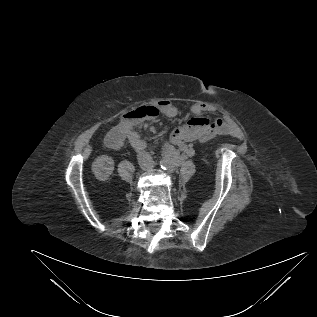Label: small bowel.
I'll list each match as a JSON object with an SVG mask.
<instances>
[{"label":"small bowel","mask_w":317,"mask_h":317,"mask_svg":"<svg viewBox=\"0 0 317 317\" xmlns=\"http://www.w3.org/2000/svg\"><path fill=\"white\" fill-rule=\"evenodd\" d=\"M158 106L160 112L167 118L172 119L177 117L179 114L178 107L168 99L161 100L158 103ZM209 111L210 107L206 104H192L190 106L192 117L186 124L178 126L172 131L170 143H167L164 146L163 153L176 159L190 158L195 154L193 147L195 143L209 141L219 134H234L237 132L236 126L229 125L221 117L210 119L204 116V114ZM134 125L135 123L130 120L121 122L107 136L106 144L108 145L109 139L112 135L118 134L122 136L123 142L125 139H128L135 149H144L146 143L134 130Z\"/></svg>","instance_id":"small-bowel-1"}]
</instances>
